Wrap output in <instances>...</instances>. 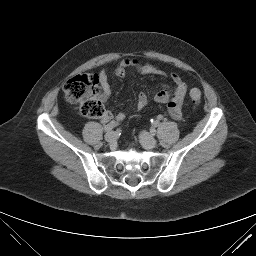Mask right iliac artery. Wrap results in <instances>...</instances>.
Instances as JSON below:
<instances>
[{"label":"right iliac artery","instance_id":"right-iliac-artery-1","mask_svg":"<svg viewBox=\"0 0 256 256\" xmlns=\"http://www.w3.org/2000/svg\"><path fill=\"white\" fill-rule=\"evenodd\" d=\"M118 124H119L118 122L112 121V122H110L109 124H107V125L104 127V131H105V132H109V131H111L113 128H115Z\"/></svg>","mask_w":256,"mask_h":256}]
</instances>
